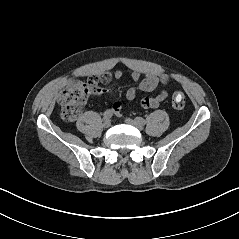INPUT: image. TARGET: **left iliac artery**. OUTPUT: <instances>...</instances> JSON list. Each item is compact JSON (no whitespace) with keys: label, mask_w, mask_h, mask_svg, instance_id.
<instances>
[{"label":"left iliac artery","mask_w":239,"mask_h":239,"mask_svg":"<svg viewBox=\"0 0 239 239\" xmlns=\"http://www.w3.org/2000/svg\"><path fill=\"white\" fill-rule=\"evenodd\" d=\"M135 120L142 125H145V123H146L142 117H136Z\"/></svg>","instance_id":"obj_1"}]
</instances>
